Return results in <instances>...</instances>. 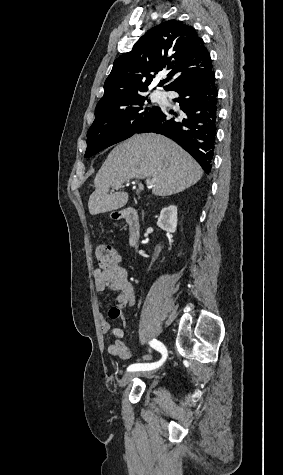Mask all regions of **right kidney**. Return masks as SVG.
I'll return each mask as SVG.
<instances>
[{"label":"right kidney","instance_id":"1","mask_svg":"<svg viewBox=\"0 0 283 475\" xmlns=\"http://www.w3.org/2000/svg\"><path fill=\"white\" fill-rule=\"evenodd\" d=\"M157 226L165 230V232H172V234H174L177 228V206L162 208Z\"/></svg>","mask_w":283,"mask_h":475}]
</instances>
